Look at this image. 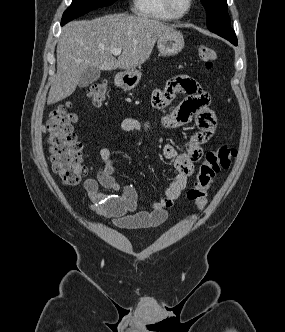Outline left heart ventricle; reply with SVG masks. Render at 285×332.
I'll list each match as a JSON object with an SVG mask.
<instances>
[{"label":"left heart ventricle","instance_id":"left-heart-ventricle-1","mask_svg":"<svg viewBox=\"0 0 285 332\" xmlns=\"http://www.w3.org/2000/svg\"><path fill=\"white\" fill-rule=\"evenodd\" d=\"M173 2L179 10H184L188 5V0H173Z\"/></svg>","mask_w":285,"mask_h":332}]
</instances>
